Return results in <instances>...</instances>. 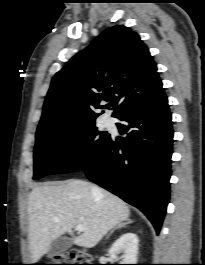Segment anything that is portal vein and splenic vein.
<instances>
[{"label":"portal vein and splenic vein","mask_w":205,"mask_h":265,"mask_svg":"<svg viewBox=\"0 0 205 265\" xmlns=\"http://www.w3.org/2000/svg\"><path fill=\"white\" fill-rule=\"evenodd\" d=\"M75 229L78 231V232H83L85 230V227L83 225H77L75 227Z\"/></svg>","instance_id":"portal-vein-and-splenic-vein-1"}]
</instances>
